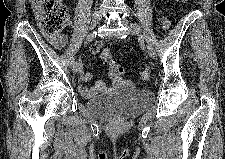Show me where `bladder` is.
<instances>
[{"instance_id":"1","label":"bladder","mask_w":225,"mask_h":159,"mask_svg":"<svg viewBox=\"0 0 225 159\" xmlns=\"http://www.w3.org/2000/svg\"><path fill=\"white\" fill-rule=\"evenodd\" d=\"M151 92L136 88L123 87L103 93L87 100V109L94 115L105 119H129L153 104Z\"/></svg>"}]
</instances>
